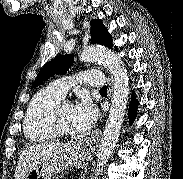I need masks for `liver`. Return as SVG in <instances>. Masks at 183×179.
Masks as SVG:
<instances>
[{
    "label": "liver",
    "mask_w": 183,
    "mask_h": 179,
    "mask_svg": "<svg viewBox=\"0 0 183 179\" xmlns=\"http://www.w3.org/2000/svg\"><path fill=\"white\" fill-rule=\"evenodd\" d=\"M63 146L64 144L58 142L29 146L20 155L15 169L14 178L24 179L29 171H31L35 166L49 158L53 152H56Z\"/></svg>",
    "instance_id": "6515ba94"
}]
</instances>
